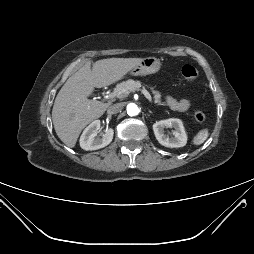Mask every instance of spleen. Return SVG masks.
Returning <instances> with one entry per match:
<instances>
[{
  "instance_id": "3e777b00",
  "label": "spleen",
  "mask_w": 254,
  "mask_h": 254,
  "mask_svg": "<svg viewBox=\"0 0 254 254\" xmlns=\"http://www.w3.org/2000/svg\"><path fill=\"white\" fill-rule=\"evenodd\" d=\"M209 136L208 129H202L200 130L196 136L193 138V144L194 145H201L203 144Z\"/></svg>"
}]
</instances>
